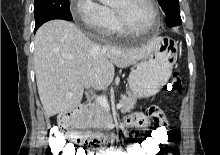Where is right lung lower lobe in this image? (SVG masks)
I'll use <instances>...</instances> for the list:
<instances>
[{
  "instance_id": "98d812e1",
  "label": "right lung lower lobe",
  "mask_w": 220,
  "mask_h": 155,
  "mask_svg": "<svg viewBox=\"0 0 220 155\" xmlns=\"http://www.w3.org/2000/svg\"><path fill=\"white\" fill-rule=\"evenodd\" d=\"M56 19H64V20H68V21L71 20L70 18H56ZM41 25H42V24H40V25H36L34 31H36Z\"/></svg>"
}]
</instances>
